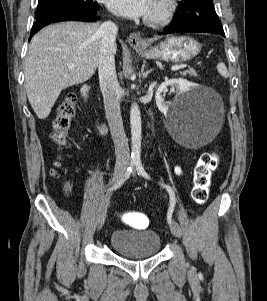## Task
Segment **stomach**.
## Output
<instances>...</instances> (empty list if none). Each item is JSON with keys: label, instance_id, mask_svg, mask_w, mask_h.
<instances>
[{"label": "stomach", "instance_id": "obj_1", "mask_svg": "<svg viewBox=\"0 0 267 301\" xmlns=\"http://www.w3.org/2000/svg\"><path fill=\"white\" fill-rule=\"evenodd\" d=\"M134 49L146 58L184 62L197 56L201 45L191 37L170 36L155 47L134 46Z\"/></svg>", "mask_w": 267, "mask_h": 301}]
</instances>
